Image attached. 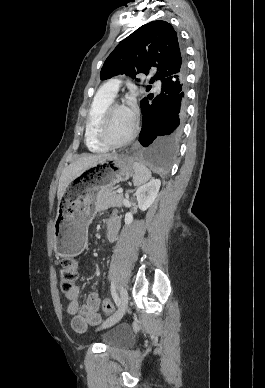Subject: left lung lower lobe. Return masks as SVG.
I'll list each match as a JSON object with an SVG mask.
<instances>
[{
	"label": "left lung lower lobe",
	"instance_id": "0a47b994",
	"mask_svg": "<svg viewBox=\"0 0 265 388\" xmlns=\"http://www.w3.org/2000/svg\"><path fill=\"white\" fill-rule=\"evenodd\" d=\"M159 93L141 100L140 157L168 170L182 134L186 111V70L163 79Z\"/></svg>",
	"mask_w": 265,
	"mask_h": 388
}]
</instances>
